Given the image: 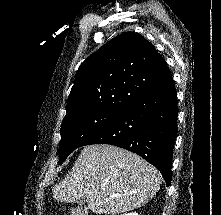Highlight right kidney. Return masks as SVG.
<instances>
[{
    "label": "right kidney",
    "mask_w": 221,
    "mask_h": 215,
    "mask_svg": "<svg viewBox=\"0 0 221 215\" xmlns=\"http://www.w3.org/2000/svg\"><path fill=\"white\" fill-rule=\"evenodd\" d=\"M123 215H139V214L136 212H132V213H127V214H123Z\"/></svg>",
    "instance_id": "ca27d5eb"
}]
</instances>
